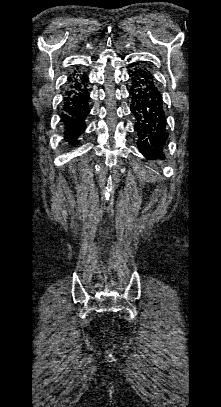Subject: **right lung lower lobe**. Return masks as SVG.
<instances>
[{"label":"right lung lower lobe","mask_w":221,"mask_h":407,"mask_svg":"<svg viewBox=\"0 0 221 407\" xmlns=\"http://www.w3.org/2000/svg\"><path fill=\"white\" fill-rule=\"evenodd\" d=\"M88 81V75L77 68L68 78L64 95L61 121L64 124L65 137L74 144L79 143L76 138L84 132L85 119L90 112Z\"/></svg>","instance_id":"right-lung-lower-lobe-1"}]
</instances>
